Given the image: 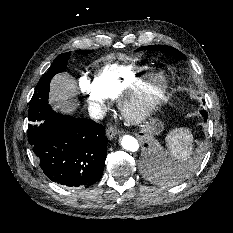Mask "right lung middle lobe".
<instances>
[{"instance_id": "1", "label": "right lung middle lobe", "mask_w": 233, "mask_h": 233, "mask_svg": "<svg viewBox=\"0 0 233 233\" xmlns=\"http://www.w3.org/2000/svg\"><path fill=\"white\" fill-rule=\"evenodd\" d=\"M80 54H86L88 50H78ZM70 57V52L60 54L55 58L48 72L38 83L36 91L30 101L28 119L31 122L28 127V138L31 145L34 144L36 138L40 134L44 121L52 114V109L48 105L49 82L51 78L60 72H63L67 67V60Z\"/></svg>"}]
</instances>
